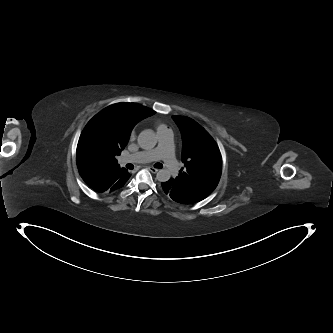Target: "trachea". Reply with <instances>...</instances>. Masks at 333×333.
<instances>
[{
	"label": "trachea",
	"instance_id": "trachea-1",
	"mask_svg": "<svg viewBox=\"0 0 333 333\" xmlns=\"http://www.w3.org/2000/svg\"><path fill=\"white\" fill-rule=\"evenodd\" d=\"M154 167H156V168H162L163 165H162L161 163H156V164L154 165Z\"/></svg>",
	"mask_w": 333,
	"mask_h": 333
}]
</instances>
